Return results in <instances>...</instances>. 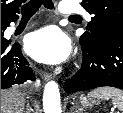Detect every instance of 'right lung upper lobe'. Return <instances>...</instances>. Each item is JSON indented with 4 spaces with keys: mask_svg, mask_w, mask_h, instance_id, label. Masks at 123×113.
<instances>
[{
    "mask_svg": "<svg viewBox=\"0 0 123 113\" xmlns=\"http://www.w3.org/2000/svg\"><path fill=\"white\" fill-rule=\"evenodd\" d=\"M24 2L25 0H1V20L17 19L18 7Z\"/></svg>",
    "mask_w": 123,
    "mask_h": 113,
    "instance_id": "right-lung-upper-lobe-1",
    "label": "right lung upper lobe"
}]
</instances>
